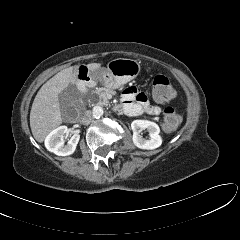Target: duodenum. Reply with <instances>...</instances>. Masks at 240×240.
<instances>
[{"mask_svg":"<svg viewBox=\"0 0 240 240\" xmlns=\"http://www.w3.org/2000/svg\"><path fill=\"white\" fill-rule=\"evenodd\" d=\"M79 81H80L81 90L83 92H85L91 84V78L89 77V75L87 73H83L80 75Z\"/></svg>","mask_w":240,"mask_h":240,"instance_id":"obj_1","label":"duodenum"}]
</instances>
